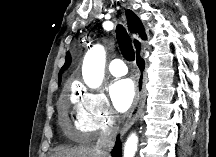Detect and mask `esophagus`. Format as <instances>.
Segmentation results:
<instances>
[{"label": "esophagus", "instance_id": "1", "mask_svg": "<svg viewBox=\"0 0 216 157\" xmlns=\"http://www.w3.org/2000/svg\"><path fill=\"white\" fill-rule=\"evenodd\" d=\"M132 40H133V44H134V48L136 52V66L139 71V76H144L146 67H145V64L142 63V59H143L142 48L141 46H140V49L137 48V42H139V40L136 35H133ZM144 102H145L144 84L138 82L137 87H136L135 99L131 107L130 114L121 129V135L125 134L128 131V129L132 126V124L135 122V120L138 118L140 111L143 108Z\"/></svg>", "mask_w": 216, "mask_h": 157}]
</instances>
